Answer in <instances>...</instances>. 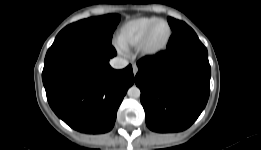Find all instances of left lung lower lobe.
Masks as SVG:
<instances>
[{
  "label": "left lung lower lobe",
  "mask_w": 261,
  "mask_h": 150,
  "mask_svg": "<svg viewBox=\"0 0 261 150\" xmlns=\"http://www.w3.org/2000/svg\"><path fill=\"white\" fill-rule=\"evenodd\" d=\"M136 85L146 124L156 132H179L199 117L210 93L206 47L188 26L174 31L167 50L137 62Z\"/></svg>",
  "instance_id": "0a47b994"
}]
</instances>
